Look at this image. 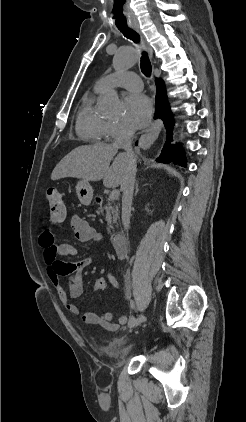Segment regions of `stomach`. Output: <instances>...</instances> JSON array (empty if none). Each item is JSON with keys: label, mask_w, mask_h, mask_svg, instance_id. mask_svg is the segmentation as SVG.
I'll list each match as a JSON object with an SVG mask.
<instances>
[{"label": "stomach", "mask_w": 246, "mask_h": 422, "mask_svg": "<svg viewBox=\"0 0 246 422\" xmlns=\"http://www.w3.org/2000/svg\"><path fill=\"white\" fill-rule=\"evenodd\" d=\"M76 193L82 204L89 205L91 203L93 199V189L88 181H78L76 185Z\"/></svg>", "instance_id": "stomach-1"}]
</instances>
